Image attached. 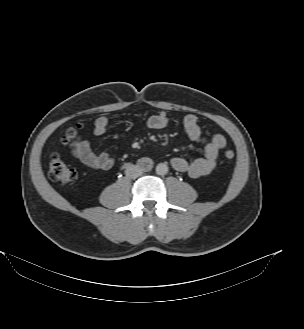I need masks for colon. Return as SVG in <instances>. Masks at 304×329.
<instances>
[{"instance_id":"1","label":"colon","mask_w":304,"mask_h":329,"mask_svg":"<svg viewBox=\"0 0 304 329\" xmlns=\"http://www.w3.org/2000/svg\"><path fill=\"white\" fill-rule=\"evenodd\" d=\"M82 127V125H79L78 129L71 128L66 132L61 139L63 147L70 148L75 144L79 138V129ZM223 156L226 160H233L235 152L231 147H225ZM49 175L54 182L60 185H67L77 178L76 170L66 164L58 154H53L51 157Z\"/></svg>"}]
</instances>
